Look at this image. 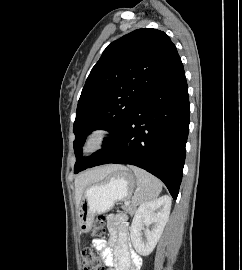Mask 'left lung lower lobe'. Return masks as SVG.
<instances>
[{"label": "left lung lower lobe", "instance_id": "left-lung-lower-lobe-1", "mask_svg": "<svg viewBox=\"0 0 242 270\" xmlns=\"http://www.w3.org/2000/svg\"><path fill=\"white\" fill-rule=\"evenodd\" d=\"M189 131V99L180 57L153 83L142 104L88 167L131 164L161 179L177 198Z\"/></svg>", "mask_w": 242, "mask_h": 270}]
</instances>
